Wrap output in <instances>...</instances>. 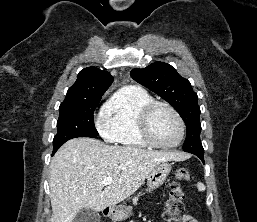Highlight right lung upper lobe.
<instances>
[{
  "label": "right lung upper lobe",
  "mask_w": 257,
  "mask_h": 222,
  "mask_svg": "<svg viewBox=\"0 0 257 222\" xmlns=\"http://www.w3.org/2000/svg\"><path fill=\"white\" fill-rule=\"evenodd\" d=\"M113 82L107 71L96 67L81 70L76 82L68 89L65 100L102 96Z\"/></svg>",
  "instance_id": "1"
}]
</instances>
